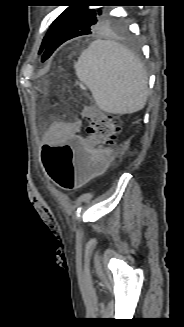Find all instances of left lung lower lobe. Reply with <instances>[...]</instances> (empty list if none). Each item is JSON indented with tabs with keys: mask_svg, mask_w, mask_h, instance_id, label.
<instances>
[{
	"mask_svg": "<svg viewBox=\"0 0 184 327\" xmlns=\"http://www.w3.org/2000/svg\"><path fill=\"white\" fill-rule=\"evenodd\" d=\"M80 35L79 32L65 26L64 18L61 17L57 21L52 35L44 48L42 61L46 60L62 43Z\"/></svg>",
	"mask_w": 184,
	"mask_h": 327,
	"instance_id": "1",
	"label": "left lung lower lobe"
}]
</instances>
